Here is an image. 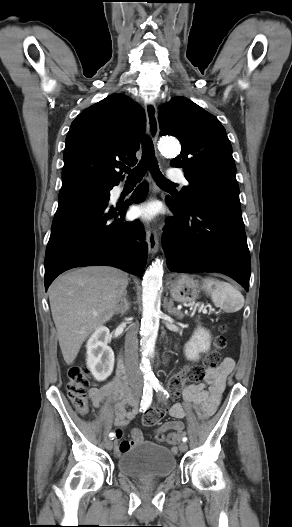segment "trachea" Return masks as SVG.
Returning <instances> with one entry per match:
<instances>
[{
  "mask_svg": "<svg viewBox=\"0 0 292 527\" xmlns=\"http://www.w3.org/2000/svg\"><path fill=\"white\" fill-rule=\"evenodd\" d=\"M148 167L150 168L154 179L160 186L174 185V183L165 178L159 170L152 141L146 136L142 142V157L139 164L133 170L128 168H125L124 170L129 174L127 178L128 180L138 182L143 178Z\"/></svg>",
  "mask_w": 292,
  "mask_h": 527,
  "instance_id": "3493384b",
  "label": "trachea"
}]
</instances>
